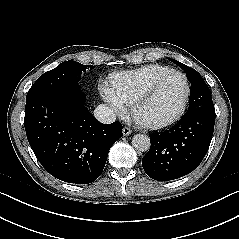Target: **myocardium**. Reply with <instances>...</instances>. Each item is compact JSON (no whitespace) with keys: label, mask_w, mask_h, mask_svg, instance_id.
<instances>
[{"label":"myocardium","mask_w":239,"mask_h":239,"mask_svg":"<svg viewBox=\"0 0 239 239\" xmlns=\"http://www.w3.org/2000/svg\"><path fill=\"white\" fill-rule=\"evenodd\" d=\"M180 76L182 77V79L184 80V84H185V93L184 96L182 98V101L178 107V109L176 110V112L170 116L167 119L164 120H160V121H146V120H142L139 117V111L141 109V107L143 106V104L148 100V98L150 97V95L156 90V88L167 78L171 77V76ZM190 83L189 80L187 78V76L182 73L181 71H177V70H170L158 77H156L148 86L147 88H145L136 98V100L134 101L133 105H132V109H131V114L133 119L135 120V122L147 129H152V130H161V129H166L169 128L171 126H173L174 124H176L185 114L188 102H189V98H190Z\"/></svg>","instance_id":"obj_1"}]
</instances>
